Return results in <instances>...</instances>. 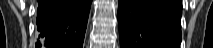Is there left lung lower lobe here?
Wrapping results in <instances>:
<instances>
[{
    "mask_svg": "<svg viewBox=\"0 0 213 48\" xmlns=\"http://www.w3.org/2000/svg\"><path fill=\"white\" fill-rule=\"evenodd\" d=\"M182 0H119L121 48H180Z\"/></svg>",
    "mask_w": 213,
    "mask_h": 48,
    "instance_id": "0a47b994",
    "label": "left lung lower lobe"
}]
</instances>
